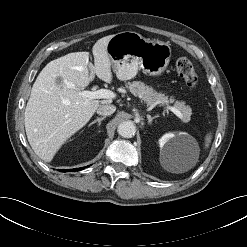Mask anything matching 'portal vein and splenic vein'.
Wrapping results in <instances>:
<instances>
[{"label": "portal vein and splenic vein", "instance_id": "obj_1", "mask_svg": "<svg viewBox=\"0 0 247 247\" xmlns=\"http://www.w3.org/2000/svg\"><path fill=\"white\" fill-rule=\"evenodd\" d=\"M80 95L88 100L91 99H113L116 94L107 89H99L95 91H80ZM166 109L173 112L179 118H182V113L173 106H166Z\"/></svg>", "mask_w": 247, "mask_h": 247}]
</instances>
